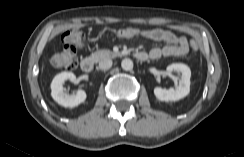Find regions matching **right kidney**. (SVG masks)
<instances>
[{
    "label": "right kidney",
    "instance_id": "right-kidney-1",
    "mask_svg": "<svg viewBox=\"0 0 244 157\" xmlns=\"http://www.w3.org/2000/svg\"><path fill=\"white\" fill-rule=\"evenodd\" d=\"M66 80L76 81V76L72 72H62L54 77L51 83L52 98L63 107H76L86 100V93L78 90L76 94L69 95L64 92L63 84Z\"/></svg>",
    "mask_w": 244,
    "mask_h": 157
}]
</instances>
